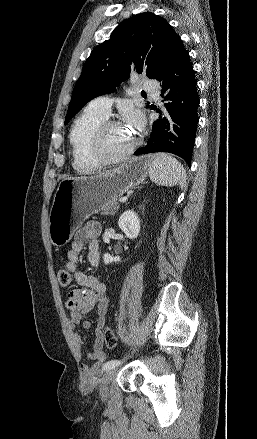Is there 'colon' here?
Segmentation results:
<instances>
[{
	"instance_id": "1",
	"label": "colon",
	"mask_w": 257,
	"mask_h": 439,
	"mask_svg": "<svg viewBox=\"0 0 257 439\" xmlns=\"http://www.w3.org/2000/svg\"><path fill=\"white\" fill-rule=\"evenodd\" d=\"M57 277H58V282L61 286L67 287L70 285L71 275L65 269L59 270ZM102 337L105 343L107 344V346H109L110 348H113L117 345L118 342L117 336L111 328L104 327L102 329Z\"/></svg>"
}]
</instances>
